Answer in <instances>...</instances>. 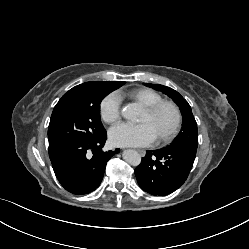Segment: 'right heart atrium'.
Here are the masks:
<instances>
[{
  "label": "right heart atrium",
  "mask_w": 249,
  "mask_h": 249,
  "mask_svg": "<svg viewBox=\"0 0 249 249\" xmlns=\"http://www.w3.org/2000/svg\"><path fill=\"white\" fill-rule=\"evenodd\" d=\"M121 115L120 98L117 94L107 95L100 104V116L105 123L113 124Z\"/></svg>",
  "instance_id": "d8ad5b80"
}]
</instances>
